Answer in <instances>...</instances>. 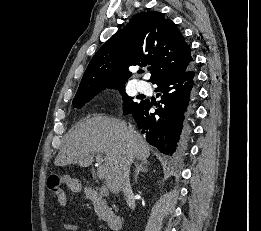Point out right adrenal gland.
<instances>
[{
  "mask_svg": "<svg viewBox=\"0 0 261 231\" xmlns=\"http://www.w3.org/2000/svg\"><path fill=\"white\" fill-rule=\"evenodd\" d=\"M148 162H141L135 164V170H134V183L137 182V177L140 172H148Z\"/></svg>",
  "mask_w": 261,
  "mask_h": 231,
  "instance_id": "1",
  "label": "right adrenal gland"
}]
</instances>
